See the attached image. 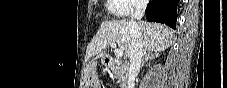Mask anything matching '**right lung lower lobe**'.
I'll return each instance as SVG.
<instances>
[{"mask_svg":"<svg viewBox=\"0 0 227 88\" xmlns=\"http://www.w3.org/2000/svg\"><path fill=\"white\" fill-rule=\"evenodd\" d=\"M179 0H151L146 8V18L149 22L165 23L176 28L177 4Z\"/></svg>","mask_w":227,"mask_h":88,"instance_id":"98d812e1","label":"right lung lower lobe"}]
</instances>
